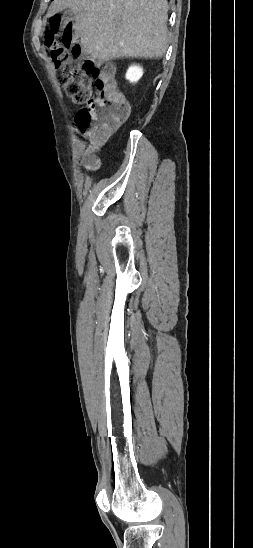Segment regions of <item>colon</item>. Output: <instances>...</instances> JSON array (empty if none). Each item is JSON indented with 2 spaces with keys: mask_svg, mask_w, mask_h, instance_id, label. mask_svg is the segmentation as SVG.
I'll return each mask as SVG.
<instances>
[{
  "mask_svg": "<svg viewBox=\"0 0 253 548\" xmlns=\"http://www.w3.org/2000/svg\"><path fill=\"white\" fill-rule=\"evenodd\" d=\"M64 39L69 37L65 34ZM47 47L54 65L62 70L59 83L65 94L81 105L76 113L79 131L101 138L116 129L127 118L129 106L112 76V68L84 57L79 47L66 42L48 40ZM87 164L95 167L97 161L89 157Z\"/></svg>",
  "mask_w": 253,
  "mask_h": 548,
  "instance_id": "1",
  "label": "colon"
}]
</instances>
